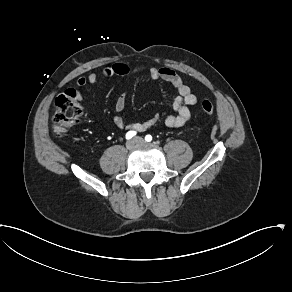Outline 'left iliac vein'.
<instances>
[{
	"label": "left iliac vein",
	"instance_id": "1",
	"mask_svg": "<svg viewBox=\"0 0 292 292\" xmlns=\"http://www.w3.org/2000/svg\"><path fill=\"white\" fill-rule=\"evenodd\" d=\"M135 139L137 141V144H144L145 143L144 139L141 137H136Z\"/></svg>",
	"mask_w": 292,
	"mask_h": 292
}]
</instances>
